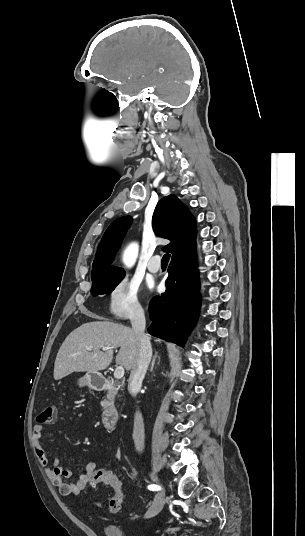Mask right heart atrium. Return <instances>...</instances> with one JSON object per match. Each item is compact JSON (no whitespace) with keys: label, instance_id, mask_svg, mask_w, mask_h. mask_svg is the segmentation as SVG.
Wrapping results in <instances>:
<instances>
[{"label":"right heart atrium","instance_id":"right-heart-atrium-1","mask_svg":"<svg viewBox=\"0 0 305 536\" xmlns=\"http://www.w3.org/2000/svg\"><path fill=\"white\" fill-rule=\"evenodd\" d=\"M107 307L112 315L120 319L141 315L140 285L127 275L121 277L108 294Z\"/></svg>","mask_w":305,"mask_h":536}]
</instances>
